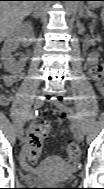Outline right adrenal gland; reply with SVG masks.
Here are the masks:
<instances>
[{
    "label": "right adrenal gland",
    "instance_id": "right-adrenal-gland-1",
    "mask_svg": "<svg viewBox=\"0 0 104 189\" xmlns=\"http://www.w3.org/2000/svg\"><path fill=\"white\" fill-rule=\"evenodd\" d=\"M32 16L37 19V16H35L34 14H32Z\"/></svg>",
    "mask_w": 104,
    "mask_h": 189
}]
</instances>
